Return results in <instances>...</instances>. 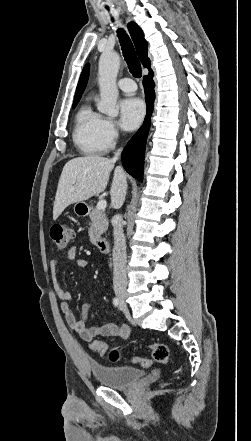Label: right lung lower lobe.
Wrapping results in <instances>:
<instances>
[{
	"instance_id": "1",
	"label": "right lung lower lobe",
	"mask_w": 251,
	"mask_h": 441,
	"mask_svg": "<svg viewBox=\"0 0 251 441\" xmlns=\"http://www.w3.org/2000/svg\"><path fill=\"white\" fill-rule=\"evenodd\" d=\"M153 71L150 70L149 74L143 78V85L145 90V100L147 104V115L142 127L136 132V134L130 139L122 153V163L125 170L142 181L143 178V164H144V152L146 139L150 128V117L153 111L155 91L153 81Z\"/></svg>"
}]
</instances>
